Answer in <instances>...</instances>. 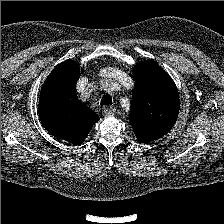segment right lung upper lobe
I'll return each mask as SVG.
<instances>
[{
	"label": "right lung upper lobe",
	"instance_id": "right-lung-upper-lobe-1",
	"mask_svg": "<svg viewBox=\"0 0 224 224\" xmlns=\"http://www.w3.org/2000/svg\"><path fill=\"white\" fill-rule=\"evenodd\" d=\"M79 65L59 64L44 82L39 98V117L45 129L57 139L79 145L99 116L80 102L76 94Z\"/></svg>",
	"mask_w": 224,
	"mask_h": 224
}]
</instances>
